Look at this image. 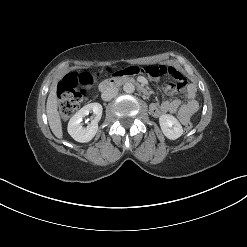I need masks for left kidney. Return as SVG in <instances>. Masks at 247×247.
Here are the masks:
<instances>
[{
	"label": "left kidney",
	"mask_w": 247,
	"mask_h": 247,
	"mask_svg": "<svg viewBox=\"0 0 247 247\" xmlns=\"http://www.w3.org/2000/svg\"><path fill=\"white\" fill-rule=\"evenodd\" d=\"M159 123L163 134L170 140H175L183 134L180 122L173 115H161Z\"/></svg>",
	"instance_id": "1"
}]
</instances>
